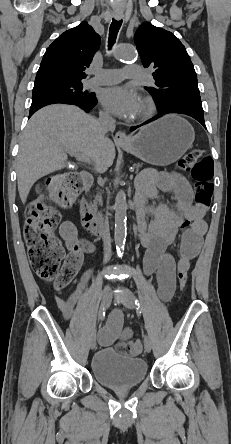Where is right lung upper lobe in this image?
Returning <instances> with one entry per match:
<instances>
[{
    "label": "right lung upper lobe",
    "instance_id": "1",
    "mask_svg": "<svg viewBox=\"0 0 231 444\" xmlns=\"http://www.w3.org/2000/svg\"><path fill=\"white\" fill-rule=\"evenodd\" d=\"M100 45V36L83 21L62 33L46 50L34 88L56 83H81ZM33 88V89H34Z\"/></svg>",
    "mask_w": 231,
    "mask_h": 444
}]
</instances>
